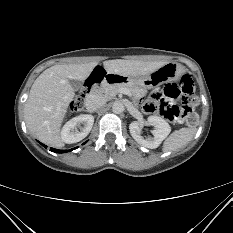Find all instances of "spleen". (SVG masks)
I'll use <instances>...</instances> for the list:
<instances>
[{
    "label": "spleen",
    "instance_id": "1",
    "mask_svg": "<svg viewBox=\"0 0 233 233\" xmlns=\"http://www.w3.org/2000/svg\"><path fill=\"white\" fill-rule=\"evenodd\" d=\"M196 128H181L174 131L164 142L163 152L175 151L185 147L194 137Z\"/></svg>",
    "mask_w": 233,
    "mask_h": 233
}]
</instances>
